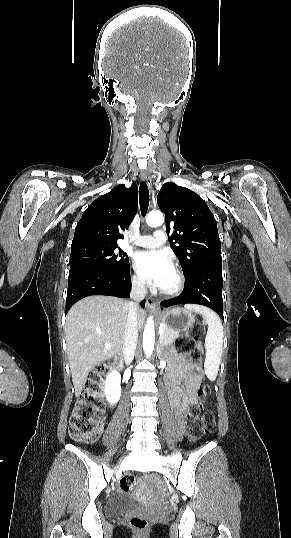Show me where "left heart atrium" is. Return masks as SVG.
<instances>
[{"mask_svg":"<svg viewBox=\"0 0 291 538\" xmlns=\"http://www.w3.org/2000/svg\"><path fill=\"white\" fill-rule=\"evenodd\" d=\"M134 268L142 280L160 288L173 272V264L169 256L157 250L137 253L134 258Z\"/></svg>","mask_w":291,"mask_h":538,"instance_id":"obj_1","label":"left heart atrium"}]
</instances>
